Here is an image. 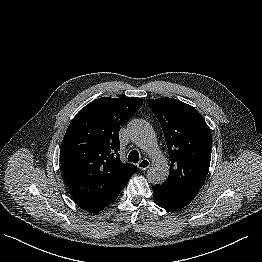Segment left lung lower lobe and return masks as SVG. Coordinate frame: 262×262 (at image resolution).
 <instances>
[{"label":"left lung lower lobe","instance_id":"0a47b994","mask_svg":"<svg viewBox=\"0 0 262 262\" xmlns=\"http://www.w3.org/2000/svg\"><path fill=\"white\" fill-rule=\"evenodd\" d=\"M155 203L167 210H178L188 205L194 197L173 191L163 185L153 186Z\"/></svg>","mask_w":262,"mask_h":262}]
</instances>
